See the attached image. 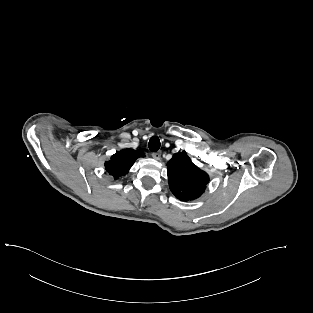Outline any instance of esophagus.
Instances as JSON below:
<instances>
[{"label": "esophagus", "instance_id": "obj_1", "mask_svg": "<svg viewBox=\"0 0 313 313\" xmlns=\"http://www.w3.org/2000/svg\"><path fill=\"white\" fill-rule=\"evenodd\" d=\"M152 157H153L155 160H160V158H161V152H154V153H152Z\"/></svg>", "mask_w": 313, "mask_h": 313}]
</instances>
